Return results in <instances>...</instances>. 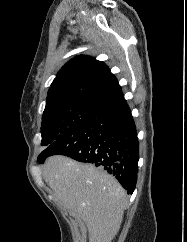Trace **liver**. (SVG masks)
I'll return each mask as SVG.
<instances>
[{
    "label": "liver",
    "mask_w": 187,
    "mask_h": 242,
    "mask_svg": "<svg viewBox=\"0 0 187 242\" xmlns=\"http://www.w3.org/2000/svg\"><path fill=\"white\" fill-rule=\"evenodd\" d=\"M43 178L61 204L85 222L89 242H111L117 235L127 204L126 192L102 168L64 156L43 166Z\"/></svg>",
    "instance_id": "6515ba94"
}]
</instances>
